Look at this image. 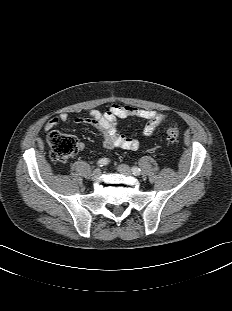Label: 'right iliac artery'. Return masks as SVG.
I'll use <instances>...</instances> for the list:
<instances>
[{
  "label": "right iliac artery",
  "instance_id": "right-iliac-artery-1",
  "mask_svg": "<svg viewBox=\"0 0 232 311\" xmlns=\"http://www.w3.org/2000/svg\"><path fill=\"white\" fill-rule=\"evenodd\" d=\"M108 163H109V160L107 158H102L97 162V165L102 167V166L107 165Z\"/></svg>",
  "mask_w": 232,
  "mask_h": 311
}]
</instances>
